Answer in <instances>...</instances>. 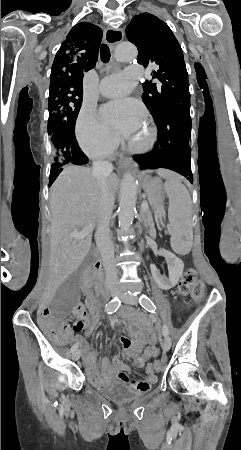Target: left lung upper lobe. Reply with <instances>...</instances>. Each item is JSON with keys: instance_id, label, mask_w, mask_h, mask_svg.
I'll return each instance as SVG.
<instances>
[{"instance_id": "5c2ea615", "label": "left lung upper lobe", "mask_w": 241, "mask_h": 450, "mask_svg": "<svg viewBox=\"0 0 241 450\" xmlns=\"http://www.w3.org/2000/svg\"><path fill=\"white\" fill-rule=\"evenodd\" d=\"M128 40L138 48V63L159 65L143 85L142 100L155 121L167 110L190 101L189 82L181 46L166 23L150 13L136 15L126 27Z\"/></svg>"}]
</instances>
